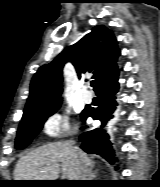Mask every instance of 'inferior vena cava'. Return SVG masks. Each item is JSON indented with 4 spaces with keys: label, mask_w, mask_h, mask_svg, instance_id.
Here are the masks:
<instances>
[{
    "label": "inferior vena cava",
    "mask_w": 160,
    "mask_h": 187,
    "mask_svg": "<svg viewBox=\"0 0 160 187\" xmlns=\"http://www.w3.org/2000/svg\"><path fill=\"white\" fill-rule=\"evenodd\" d=\"M75 142L73 140H70L68 141L67 145L72 148V149H75V146H74ZM79 180H90L89 179V174H88V170L85 169V168H81V175H80V178Z\"/></svg>",
    "instance_id": "obj_1"
}]
</instances>
